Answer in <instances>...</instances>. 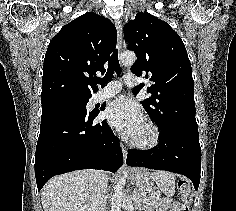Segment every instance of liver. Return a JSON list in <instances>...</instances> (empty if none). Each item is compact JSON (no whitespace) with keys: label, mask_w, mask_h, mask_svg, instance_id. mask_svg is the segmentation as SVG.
<instances>
[{"label":"liver","mask_w":236,"mask_h":211,"mask_svg":"<svg viewBox=\"0 0 236 211\" xmlns=\"http://www.w3.org/2000/svg\"><path fill=\"white\" fill-rule=\"evenodd\" d=\"M98 172L78 170L50 179L41 191L44 211H89Z\"/></svg>","instance_id":"1"}]
</instances>
